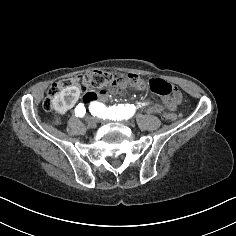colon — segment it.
<instances>
[{"label":"colon","instance_id":"1","mask_svg":"<svg viewBox=\"0 0 236 236\" xmlns=\"http://www.w3.org/2000/svg\"><path fill=\"white\" fill-rule=\"evenodd\" d=\"M77 86L83 90V100L90 102L101 95H105L110 89L126 90L129 88L142 89L145 87V81L136 74H122L114 76L106 71L94 70L72 79H65L54 83L48 89L47 97L43 102L46 111H52L53 98L65 87ZM152 92L161 96H170L178 99L179 92L171 84L161 79H151L148 83ZM163 119L166 121H175L174 113H164Z\"/></svg>","mask_w":236,"mask_h":236}]
</instances>
